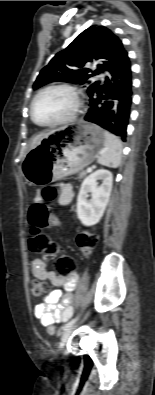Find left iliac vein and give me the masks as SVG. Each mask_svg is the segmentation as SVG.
<instances>
[{"label": "left iliac vein", "mask_w": 155, "mask_h": 395, "mask_svg": "<svg viewBox=\"0 0 155 395\" xmlns=\"http://www.w3.org/2000/svg\"><path fill=\"white\" fill-rule=\"evenodd\" d=\"M74 328H75V326L72 325L71 327H69L68 329H66L64 331V333L61 336V343H60L61 347L65 345V343L69 339L70 335L72 334Z\"/></svg>", "instance_id": "1"}]
</instances>
